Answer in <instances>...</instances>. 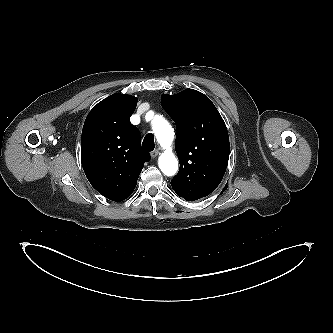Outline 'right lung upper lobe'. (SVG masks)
Instances as JSON below:
<instances>
[{"label":"right lung upper lobe","instance_id":"cb5924a9","mask_svg":"<svg viewBox=\"0 0 333 333\" xmlns=\"http://www.w3.org/2000/svg\"><path fill=\"white\" fill-rule=\"evenodd\" d=\"M137 98L113 94L88 114L81 137V161L91 185L112 201H122L135 189L144 163L138 129L130 123Z\"/></svg>","mask_w":333,"mask_h":333}]
</instances>
